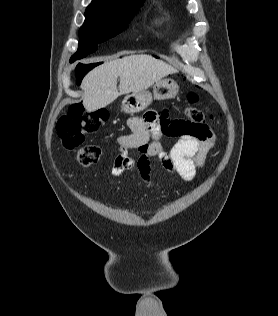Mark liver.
<instances>
[{
  "label": "liver",
  "instance_id": "obj_1",
  "mask_svg": "<svg viewBox=\"0 0 278 316\" xmlns=\"http://www.w3.org/2000/svg\"><path fill=\"white\" fill-rule=\"evenodd\" d=\"M175 73L177 70L171 65L145 54L104 62L90 71L81 83L84 107L89 112L106 107L120 95L141 92Z\"/></svg>",
  "mask_w": 278,
  "mask_h": 316
}]
</instances>
